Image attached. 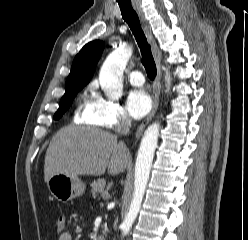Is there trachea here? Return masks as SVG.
Masks as SVG:
<instances>
[{"label": "trachea", "mask_w": 248, "mask_h": 240, "mask_svg": "<svg viewBox=\"0 0 248 240\" xmlns=\"http://www.w3.org/2000/svg\"><path fill=\"white\" fill-rule=\"evenodd\" d=\"M118 1L121 14L125 22L130 27L137 44L140 48L142 55V64L146 69L147 76L154 80L157 70L154 58L151 53V47L147 41V38L142 30L139 17L136 11L133 9L130 0L129 1Z\"/></svg>", "instance_id": "3493384b"}]
</instances>
